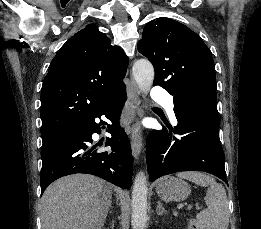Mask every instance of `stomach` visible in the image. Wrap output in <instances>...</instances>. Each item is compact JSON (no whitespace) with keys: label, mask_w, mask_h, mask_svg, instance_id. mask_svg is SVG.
<instances>
[{"label":"stomach","mask_w":261,"mask_h":229,"mask_svg":"<svg viewBox=\"0 0 261 229\" xmlns=\"http://www.w3.org/2000/svg\"><path fill=\"white\" fill-rule=\"evenodd\" d=\"M156 193L161 201H165V203H171V201L180 203V201L188 199L191 189L190 185L185 181H181V179L163 177L156 183Z\"/></svg>","instance_id":"stomach-1"}]
</instances>
